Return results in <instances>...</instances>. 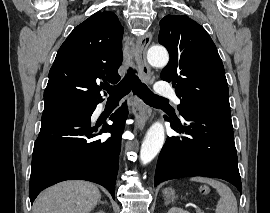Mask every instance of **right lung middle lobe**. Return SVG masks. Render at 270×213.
Returning a JSON list of instances; mask_svg holds the SVG:
<instances>
[{"label": "right lung middle lobe", "instance_id": "1", "mask_svg": "<svg viewBox=\"0 0 270 213\" xmlns=\"http://www.w3.org/2000/svg\"><path fill=\"white\" fill-rule=\"evenodd\" d=\"M92 105L93 104L79 103V102H62L44 107L43 112L63 111V110L86 111L90 109Z\"/></svg>", "mask_w": 270, "mask_h": 213}]
</instances>
